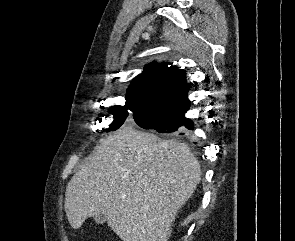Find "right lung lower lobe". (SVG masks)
<instances>
[{"mask_svg": "<svg viewBox=\"0 0 295 241\" xmlns=\"http://www.w3.org/2000/svg\"><path fill=\"white\" fill-rule=\"evenodd\" d=\"M190 105L185 108L166 116L164 119L154 122L147 126L145 129H154L157 132L164 134L182 135L181 132L184 127L193 130V122L190 119L185 118V113L189 110Z\"/></svg>", "mask_w": 295, "mask_h": 241, "instance_id": "obj_1", "label": "right lung lower lobe"}]
</instances>
